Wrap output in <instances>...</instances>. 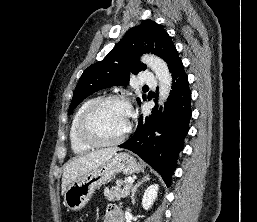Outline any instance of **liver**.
I'll return each mask as SVG.
<instances>
[{"instance_id":"1","label":"liver","mask_w":257,"mask_h":222,"mask_svg":"<svg viewBox=\"0 0 257 222\" xmlns=\"http://www.w3.org/2000/svg\"><path fill=\"white\" fill-rule=\"evenodd\" d=\"M117 151H119L118 148L101 149L70 160L63 170L62 195L73 181L111 159Z\"/></svg>"}]
</instances>
